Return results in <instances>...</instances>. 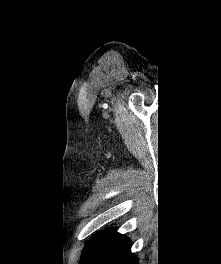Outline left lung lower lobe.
Masks as SVG:
<instances>
[{"instance_id":"1","label":"left lung lower lobe","mask_w":221,"mask_h":264,"mask_svg":"<svg viewBox=\"0 0 221 264\" xmlns=\"http://www.w3.org/2000/svg\"><path fill=\"white\" fill-rule=\"evenodd\" d=\"M79 264H138L130 240L108 229L94 235L85 245Z\"/></svg>"}]
</instances>
